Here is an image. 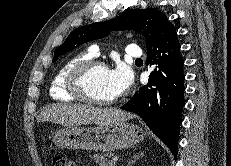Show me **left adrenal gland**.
Returning a JSON list of instances; mask_svg holds the SVG:
<instances>
[{"label":"left adrenal gland","mask_w":231,"mask_h":166,"mask_svg":"<svg viewBox=\"0 0 231 166\" xmlns=\"http://www.w3.org/2000/svg\"><path fill=\"white\" fill-rule=\"evenodd\" d=\"M143 155H144L143 152H139V153L133 155V157L129 160V162H128V164L126 166H132L133 163H135V161H137L138 159L143 157Z\"/></svg>","instance_id":"1"}]
</instances>
